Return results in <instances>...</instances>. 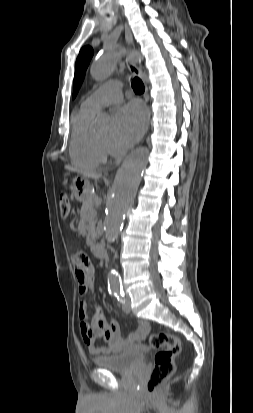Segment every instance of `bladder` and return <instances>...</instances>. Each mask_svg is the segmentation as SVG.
<instances>
[{
  "mask_svg": "<svg viewBox=\"0 0 253 413\" xmlns=\"http://www.w3.org/2000/svg\"><path fill=\"white\" fill-rule=\"evenodd\" d=\"M94 364L98 367L112 371H130L145 361V352L142 349H135L94 358Z\"/></svg>",
  "mask_w": 253,
  "mask_h": 413,
  "instance_id": "1",
  "label": "bladder"
}]
</instances>
